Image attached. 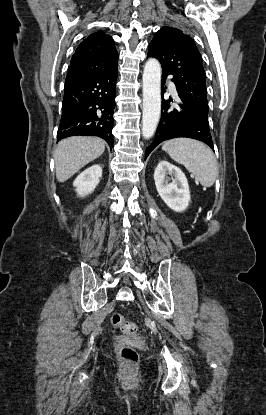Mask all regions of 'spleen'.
Returning <instances> with one entry per match:
<instances>
[{"instance_id":"obj_1","label":"spleen","mask_w":266,"mask_h":415,"mask_svg":"<svg viewBox=\"0 0 266 415\" xmlns=\"http://www.w3.org/2000/svg\"><path fill=\"white\" fill-rule=\"evenodd\" d=\"M162 150L192 173L196 182L211 187L218 175V165L212 150L200 141L178 138L163 144Z\"/></svg>"}]
</instances>
